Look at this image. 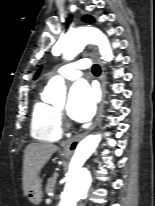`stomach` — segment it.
Segmentation results:
<instances>
[{"label": "stomach", "mask_w": 155, "mask_h": 206, "mask_svg": "<svg viewBox=\"0 0 155 206\" xmlns=\"http://www.w3.org/2000/svg\"><path fill=\"white\" fill-rule=\"evenodd\" d=\"M69 154L67 152H62V156L67 157ZM28 198L33 204H40L42 201L43 193H42V184L41 179L39 177H36L28 192Z\"/></svg>", "instance_id": "stomach-1"}]
</instances>
